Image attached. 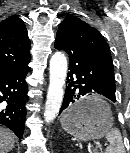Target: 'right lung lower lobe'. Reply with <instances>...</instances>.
<instances>
[{
  "label": "right lung lower lobe",
  "instance_id": "1",
  "mask_svg": "<svg viewBox=\"0 0 130 153\" xmlns=\"http://www.w3.org/2000/svg\"><path fill=\"white\" fill-rule=\"evenodd\" d=\"M29 71L28 65L0 71V124L11 129L20 139L24 132L28 98L25 76Z\"/></svg>",
  "mask_w": 130,
  "mask_h": 153
}]
</instances>
